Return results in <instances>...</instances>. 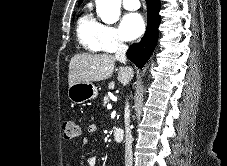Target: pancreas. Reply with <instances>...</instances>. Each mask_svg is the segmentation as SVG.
<instances>
[{
    "label": "pancreas",
    "instance_id": "obj_1",
    "mask_svg": "<svg viewBox=\"0 0 227 166\" xmlns=\"http://www.w3.org/2000/svg\"><path fill=\"white\" fill-rule=\"evenodd\" d=\"M107 103H109V97L105 96L103 100V105L105 106Z\"/></svg>",
    "mask_w": 227,
    "mask_h": 166
}]
</instances>
